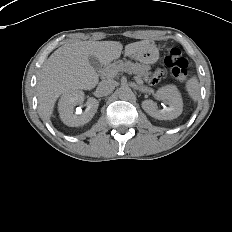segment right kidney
Here are the masks:
<instances>
[{
    "label": "right kidney",
    "instance_id": "1",
    "mask_svg": "<svg viewBox=\"0 0 232 232\" xmlns=\"http://www.w3.org/2000/svg\"><path fill=\"white\" fill-rule=\"evenodd\" d=\"M84 101V93L80 90H73L64 93L58 102V111L60 118L64 124L70 127H78L88 123L95 113L97 112L99 102L93 98H88L85 106L87 107L84 112L81 108H74L81 105Z\"/></svg>",
    "mask_w": 232,
    "mask_h": 232
}]
</instances>
